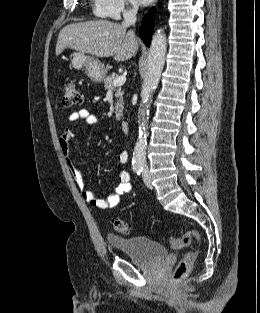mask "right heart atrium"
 <instances>
[{
	"label": "right heart atrium",
	"instance_id": "1",
	"mask_svg": "<svg viewBox=\"0 0 260 313\" xmlns=\"http://www.w3.org/2000/svg\"><path fill=\"white\" fill-rule=\"evenodd\" d=\"M94 12L97 16L120 19L123 15L133 14L135 6L131 0H93Z\"/></svg>",
	"mask_w": 260,
	"mask_h": 313
}]
</instances>
